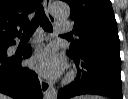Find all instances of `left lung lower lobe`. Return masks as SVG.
<instances>
[{"label":"left lung lower lobe","instance_id":"obj_1","mask_svg":"<svg viewBox=\"0 0 128 99\" xmlns=\"http://www.w3.org/2000/svg\"><path fill=\"white\" fill-rule=\"evenodd\" d=\"M119 51V45L96 43L80 54L67 53L75 61L78 73L74 82L60 89L58 99H68L82 94L122 99Z\"/></svg>","mask_w":128,"mask_h":99}]
</instances>
